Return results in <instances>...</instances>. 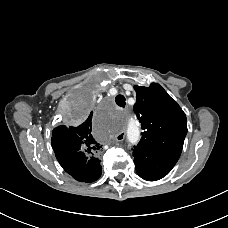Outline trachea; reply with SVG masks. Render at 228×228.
Segmentation results:
<instances>
[{
    "instance_id": "1",
    "label": "trachea",
    "mask_w": 228,
    "mask_h": 228,
    "mask_svg": "<svg viewBox=\"0 0 228 228\" xmlns=\"http://www.w3.org/2000/svg\"><path fill=\"white\" fill-rule=\"evenodd\" d=\"M126 99L123 95H117L116 98H115V102L118 106L120 107H125V104H126Z\"/></svg>"
}]
</instances>
